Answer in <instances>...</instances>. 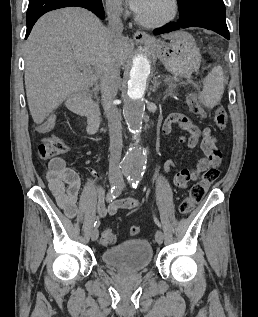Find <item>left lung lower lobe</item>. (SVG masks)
<instances>
[{"instance_id":"0a47b994","label":"left lung lower lobe","mask_w":258,"mask_h":317,"mask_svg":"<svg viewBox=\"0 0 258 317\" xmlns=\"http://www.w3.org/2000/svg\"><path fill=\"white\" fill-rule=\"evenodd\" d=\"M202 27L212 30L226 39H230L229 31L225 21V5L223 0H199L191 11L178 22L158 28L154 31L156 35L168 33L180 28Z\"/></svg>"}]
</instances>
